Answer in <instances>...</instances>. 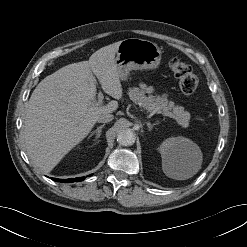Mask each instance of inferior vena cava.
I'll return each mask as SVG.
<instances>
[{"mask_svg": "<svg viewBox=\"0 0 247 247\" xmlns=\"http://www.w3.org/2000/svg\"><path fill=\"white\" fill-rule=\"evenodd\" d=\"M113 118H114V116L112 114L105 113V114H100L97 117V121L100 123H107V122L112 121Z\"/></svg>", "mask_w": 247, "mask_h": 247, "instance_id": "1", "label": "inferior vena cava"}]
</instances>
